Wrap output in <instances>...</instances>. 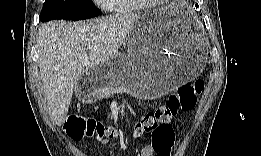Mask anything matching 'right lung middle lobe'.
Returning <instances> with one entry per match:
<instances>
[{
    "label": "right lung middle lobe",
    "mask_w": 261,
    "mask_h": 156,
    "mask_svg": "<svg viewBox=\"0 0 261 156\" xmlns=\"http://www.w3.org/2000/svg\"><path fill=\"white\" fill-rule=\"evenodd\" d=\"M101 14L90 0H45L40 21L81 20Z\"/></svg>",
    "instance_id": "dd1d6c3e"
}]
</instances>
